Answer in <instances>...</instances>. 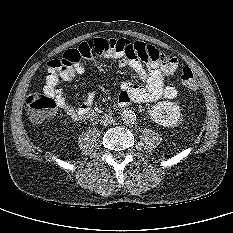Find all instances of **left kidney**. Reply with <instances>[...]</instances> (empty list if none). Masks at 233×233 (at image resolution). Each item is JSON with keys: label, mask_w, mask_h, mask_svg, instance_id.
Masks as SVG:
<instances>
[{"label": "left kidney", "mask_w": 233, "mask_h": 233, "mask_svg": "<svg viewBox=\"0 0 233 233\" xmlns=\"http://www.w3.org/2000/svg\"><path fill=\"white\" fill-rule=\"evenodd\" d=\"M152 121L163 127H174L181 117L180 108L176 103L163 101L152 106L149 111Z\"/></svg>", "instance_id": "1"}]
</instances>
